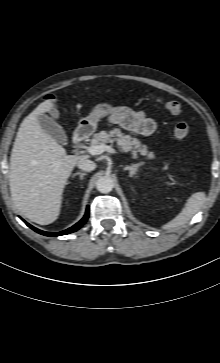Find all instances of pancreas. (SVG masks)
<instances>
[{"label": "pancreas", "instance_id": "1", "mask_svg": "<svg viewBox=\"0 0 220 363\" xmlns=\"http://www.w3.org/2000/svg\"><path fill=\"white\" fill-rule=\"evenodd\" d=\"M117 142L118 148L124 152H131L133 158H137L138 153L146 156L148 159H154V152H149L147 147L141 144L135 138L130 135H125L120 129L114 128L109 131H100L94 134L91 141L92 145H106L107 143Z\"/></svg>", "mask_w": 220, "mask_h": 363}]
</instances>
